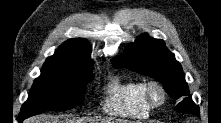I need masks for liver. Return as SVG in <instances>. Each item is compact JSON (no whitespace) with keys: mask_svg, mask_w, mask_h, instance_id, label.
I'll return each mask as SVG.
<instances>
[{"mask_svg":"<svg viewBox=\"0 0 221 123\" xmlns=\"http://www.w3.org/2000/svg\"><path fill=\"white\" fill-rule=\"evenodd\" d=\"M106 121L108 123H125L121 120H114V119ZM24 123H82V122H80V120H77V122H74V120H63V121L51 120L49 116H36L25 120Z\"/></svg>","mask_w":221,"mask_h":123,"instance_id":"obj_1","label":"liver"}]
</instances>
